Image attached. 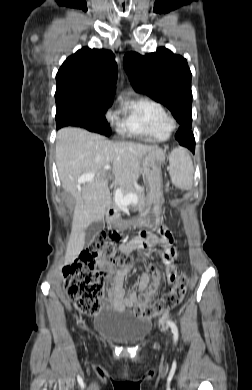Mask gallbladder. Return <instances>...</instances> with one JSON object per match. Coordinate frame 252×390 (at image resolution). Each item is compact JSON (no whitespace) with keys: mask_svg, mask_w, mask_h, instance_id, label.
I'll list each match as a JSON object with an SVG mask.
<instances>
[{"mask_svg":"<svg viewBox=\"0 0 252 390\" xmlns=\"http://www.w3.org/2000/svg\"><path fill=\"white\" fill-rule=\"evenodd\" d=\"M105 227L104 221L99 220L91 223L85 230V240L89 243Z\"/></svg>","mask_w":252,"mask_h":390,"instance_id":"1","label":"gallbladder"}]
</instances>
